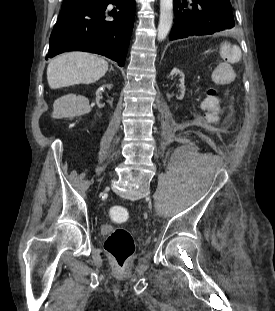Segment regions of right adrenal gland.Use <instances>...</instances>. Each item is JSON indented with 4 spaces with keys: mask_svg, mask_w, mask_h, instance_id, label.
<instances>
[{
    "mask_svg": "<svg viewBox=\"0 0 275 311\" xmlns=\"http://www.w3.org/2000/svg\"><path fill=\"white\" fill-rule=\"evenodd\" d=\"M110 71H114L113 67L111 66Z\"/></svg>",
    "mask_w": 275,
    "mask_h": 311,
    "instance_id": "right-adrenal-gland-1",
    "label": "right adrenal gland"
}]
</instances>
